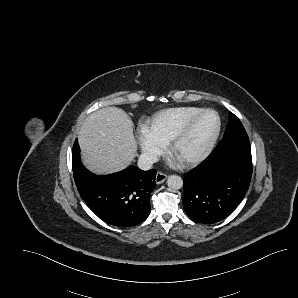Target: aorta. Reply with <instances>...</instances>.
Wrapping results in <instances>:
<instances>
[{
  "label": "aorta",
  "mask_w": 298,
  "mask_h": 298,
  "mask_svg": "<svg viewBox=\"0 0 298 298\" xmlns=\"http://www.w3.org/2000/svg\"><path fill=\"white\" fill-rule=\"evenodd\" d=\"M167 186L170 189L178 190L183 186V179L177 174H171L167 177Z\"/></svg>",
  "instance_id": "obj_1"
}]
</instances>
